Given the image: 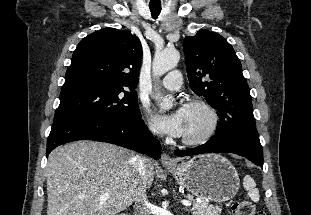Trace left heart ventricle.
Masks as SVG:
<instances>
[{
	"label": "left heart ventricle",
	"instance_id": "left-heart-ventricle-1",
	"mask_svg": "<svg viewBox=\"0 0 311 215\" xmlns=\"http://www.w3.org/2000/svg\"><path fill=\"white\" fill-rule=\"evenodd\" d=\"M184 111L186 126L182 137L194 138L200 136L208 126V115L199 108H184Z\"/></svg>",
	"mask_w": 311,
	"mask_h": 215
}]
</instances>
